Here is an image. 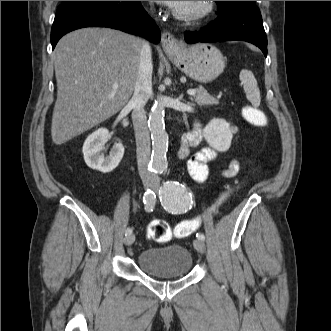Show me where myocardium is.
Segmentation results:
<instances>
[{
  "label": "myocardium",
  "instance_id": "f54148a6",
  "mask_svg": "<svg viewBox=\"0 0 331 331\" xmlns=\"http://www.w3.org/2000/svg\"><path fill=\"white\" fill-rule=\"evenodd\" d=\"M214 8V1H200L199 6L190 12H183L177 9L173 10V15L182 21L193 22L209 15Z\"/></svg>",
  "mask_w": 331,
  "mask_h": 331
}]
</instances>
